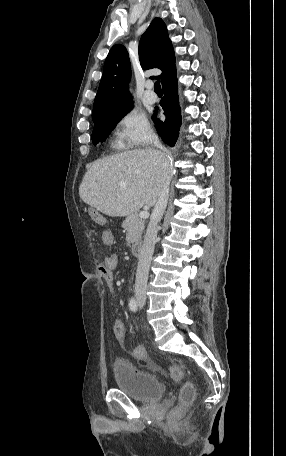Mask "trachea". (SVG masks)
<instances>
[{
	"instance_id": "trachea-1",
	"label": "trachea",
	"mask_w": 286,
	"mask_h": 456,
	"mask_svg": "<svg viewBox=\"0 0 286 456\" xmlns=\"http://www.w3.org/2000/svg\"><path fill=\"white\" fill-rule=\"evenodd\" d=\"M154 90H155V92H162L160 81H156L154 83Z\"/></svg>"
}]
</instances>
